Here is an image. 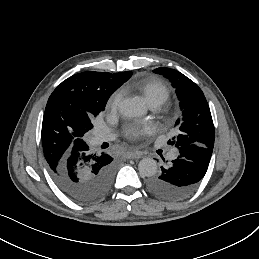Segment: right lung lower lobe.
I'll return each mask as SVG.
<instances>
[{"instance_id":"1","label":"right lung lower lobe","mask_w":259,"mask_h":259,"mask_svg":"<svg viewBox=\"0 0 259 259\" xmlns=\"http://www.w3.org/2000/svg\"><path fill=\"white\" fill-rule=\"evenodd\" d=\"M113 158L102 152L92 153L87 144L71 153L50 175L59 189L75 202L89 204L103 198L110 190L115 165Z\"/></svg>"}]
</instances>
